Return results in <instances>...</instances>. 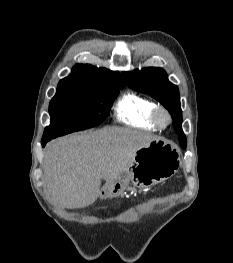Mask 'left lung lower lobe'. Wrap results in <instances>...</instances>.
<instances>
[{
	"label": "left lung lower lobe",
	"mask_w": 233,
	"mask_h": 263,
	"mask_svg": "<svg viewBox=\"0 0 233 263\" xmlns=\"http://www.w3.org/2000/svg\"><path fill=\"white\" fill-rule=\"evenodd\" d=\"M179 141H180L182 148L183 149L186 148V138H180Z\"/></svg>",
	"instance_id": "obj_1"
}]
</instances>
